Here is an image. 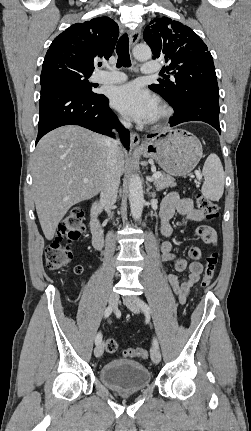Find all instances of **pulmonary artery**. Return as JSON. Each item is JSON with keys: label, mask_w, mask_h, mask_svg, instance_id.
Masks as SVG:
<instances>
[{"label": "pulmonary artery", "mask_w": 251, "mask_h": 431, "mask_svg": "<svg viewBox=\"0 0 251 431\" xmlns=\"http://www.w3.org/2000/svg\"><path fill=\"white\" fill-rule=\"evenodd\" d=\"M160 70V65L157 62L149 61L143 64L142 73L152 74ZM126 80L125 74L119 71L101 72L97 75V81L100 83H121Z\"/></svg>", "instance_id": "e3ab8cb5"}]
</instances>
